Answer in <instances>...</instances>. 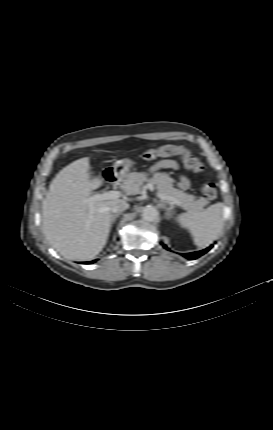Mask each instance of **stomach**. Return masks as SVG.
<instances>
[{"mask_svg": "<svg viewBox=\"0 0 273 430\" xmlns=\"http://www.w3.org/2000/svg\"><path fill=\"white\" fill-rule=\"evenodd\" d=\"M131 166H132V161L125 159L122 161H117L113 167H114V172L120 175L122 178H124L127 176Z\"/></svg>", "mask_w": 273, "mask_h": 430, "instance_id": "stomach-1", "label": "stomach"}]
</instances>
